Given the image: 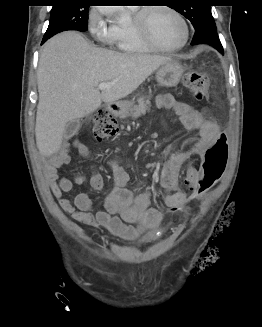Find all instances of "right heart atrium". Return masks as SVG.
I'll return each mask as SVG.
<instances>
[{"label":"right heart atrium","mask_w":262,"mask_h":327,"mask_svg":"<svg viewBox=\"0 0 262 327\" xmlns=\"http://www.w3.org/2000/svg\"><path fill=\"white\" fill-rule=\"evenodd\" d=\"M87 26L92 35L100 42L111 44L115 39L114 25L107 21L105 9L94 7L87 18Z\"/></svg>","instance_id":"1"}]
</instances>
